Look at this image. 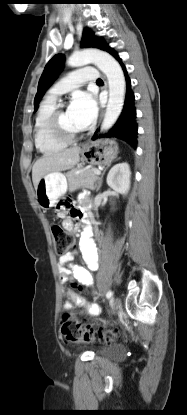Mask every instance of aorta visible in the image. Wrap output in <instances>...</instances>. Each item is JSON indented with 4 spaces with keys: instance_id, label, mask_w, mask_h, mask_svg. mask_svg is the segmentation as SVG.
Returning a JSON list of instances; mask_svg holds the SVG:
<instances>
[{
    "instance_id": "762f6f07",
    "label": "aorta",
    "mask_w": 187,
    "mask_h": 415,
    "mask_svg": "<svg viewBox=\"0 0 187 415\" xmlns=\"http://www.w3.org/2000/svg\"><path fill=\"white\" fill-rule=\"evenodd\" d=\"M71 67L95 64L107 77L109 100L101 130L110 129L120 116L126 93L124 73L119 63L107 52L98 49H86L73 54L67 61Z\"/></svg>"
}]
</instances>
